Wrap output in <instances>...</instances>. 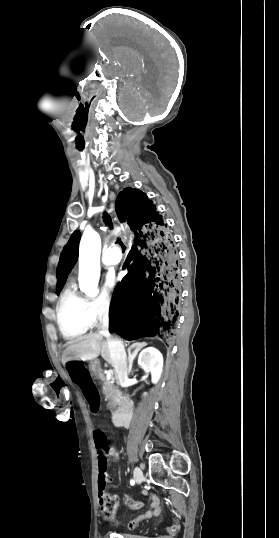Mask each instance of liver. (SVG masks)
<instances>
[{
    "label": "liver",
    "instance_id": "obj_1",
    "mask_svg": "<svg viewBox=\"0 0 279 538\" xmlns=\"http://www.w3.org/2000/svg\"><path fill=\"white\" fill-rule=\"evenodd\" d=\"M65 354L70 356L69 360H95L101 354L102 358L111 364L110 350L107 342L103 340L102 334H88L82 340L68 342Z\"/></svg>",
    "mask_w": 279,
    "mask_h": 538
}]
</instances>
